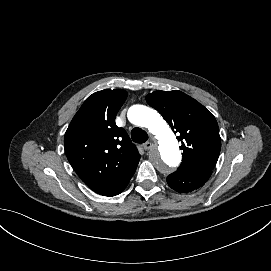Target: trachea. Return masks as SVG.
<instances>
[{"instance_id":"obj_1","label":"trachea","mask_w":271,"mask_h":271,"mask_svg":"<svg viewBox=\"0 0 271 271\" xmlns=\"http://www.w3.org/2000/svg\"><path fill=\"white\" fill-rule=\"evenodd\" d=\"M131 138L135 143H144L148 140V135L143 129L135 127L131 131Z\"/></svg>"}]
</instances>
